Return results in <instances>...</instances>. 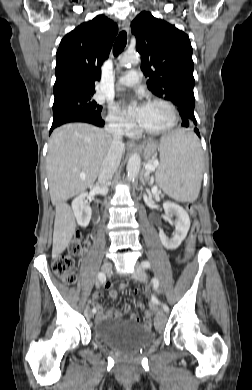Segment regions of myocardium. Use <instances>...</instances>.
<instances>
[{
  "label": "myocardium",
  "mask_w": 252,
  "mask_h": 390,
  "mask_svg": "<svg viewBox=\"0 0 252 390\" xmlns=\"http://www.w3.org/2000/svg\"><path fill=\"white\" fill-rule=\"evenodd\" d=\"M153 103H161L166 105L169 108L172 114V120L170 124L167 127L159 130H147L142 128L140 124H138L137 125L138 132L149 136H160V135L167 134L168 132L172 131L178 124V120H179L178 110L171 101L164 98H159V97L151 98L146 102V104H153Z\"/></svg>",
  "instance_id": "1"
}]
</instances>
